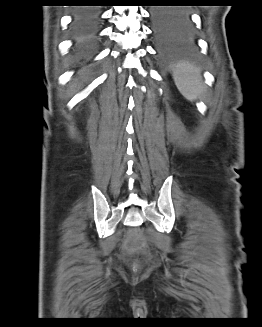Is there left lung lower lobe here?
<instances>
[{
  "instance_id": "0a47b994",
  "label": "left lung lower lobe",
  "mask_w": 262,
  "mask_h": 327,
  "mask_svg": "<svg viewBox=\"0 0 262 327\" xmlns=\"http://www.w3.org/2000/svg\"><path fill=\"white\" fill-rule=\"evenodd\" d=\"M153 32L159 51L165 56H188L197 53L191 16L182 9L155 7L151 11Z\"/></svg>"
}]
</instances>
